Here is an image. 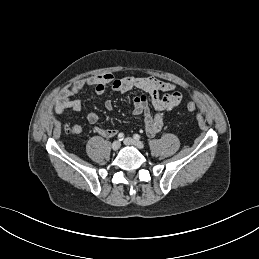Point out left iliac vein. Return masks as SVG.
Returning <instances> with one entry per match:
<instances>
[{"instance_id":"1","label":"left iliac vein","mask_w":259,"mask_h":259,"mask_svg":"<svg viewBox=\"0 0 259 259\" xmlns=\"http://www.w3.org/2000/svg\"><path fill=\"white\" fill-rule=\"evenodd\" d=\"M124 144L128 146H135L138 149L144 148V144L141 141L134 140L130 137L125 138Z\"/></svg>"}]
</instances>
